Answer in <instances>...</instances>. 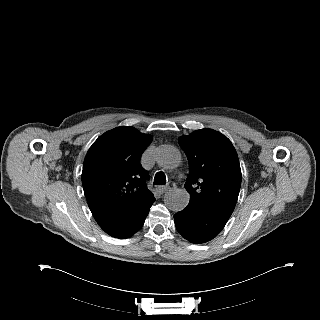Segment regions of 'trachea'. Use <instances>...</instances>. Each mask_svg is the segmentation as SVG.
<instances>
[{"mask_svg": "<svg viewBox=\"0 0 320 320\" xmlns=\"http://www.w3.org/2000/svg\"><path fill=\"white\" fill-rule=\"evenodd\" d=\"M155 185H165L166 184V176L162 171L156 173L154 178Z\"/></svg>", "mask_w": 320, "mask_h": 320, "instance_id": "obj_1", "label": "trachea"}]
</instances>
